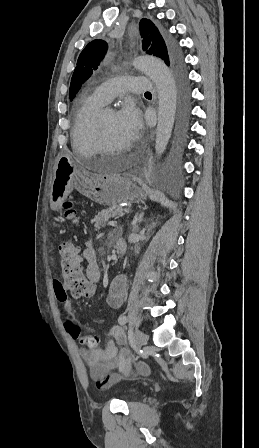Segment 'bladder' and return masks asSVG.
<instances>
[{"mask_svg": "<svg viewBox=\"0 0 259 448\" xmlns=\"http://www.w3.org/2000/svg\"><path fill=\"white\" fill-rule=\"evenodd\" d=\"M137 393H138V389H136V388L129 390V394H131V395H135Z\"/></svg>", "mask_w": 259, "mask_h": 448, "instance_id": "1", "label": "bladder"}]
</instances>
